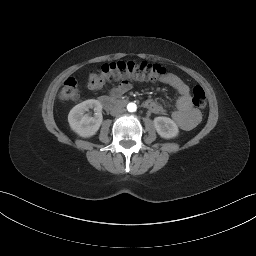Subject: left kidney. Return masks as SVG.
<instances>
[{"instance_id":"left-kidney-1","label":"left kidney","mask_w":256,"mask_h":256,"mask_svg":"<svg viewBox=\"0 0 256 256\" xmlns=\"http://www.w3.org/2000/svg\"><path fill=\"white\" fill-rule=\"evenodd\" d=\"M153 122L157 133L162 138L171 139L178 136V126L171 118L160 116L154 118Z\"/></svg>"}]
</instances>
